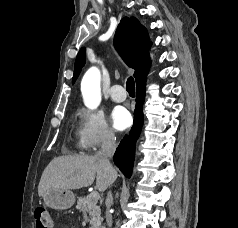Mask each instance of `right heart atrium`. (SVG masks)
Wrapping results in <instances>:
<instances>
[{
  "instance_id": "right-heart-atrium-1",
  "label": "right heart atrium",
  "mask_w": 238,
  "mask_h": 228,
  "mask_svg": "<svg viewBox=\"0 0 238 228\" xmlns=\"http://www.w3.org/2000/svg\"><path fill=\"white\" fill-rule=\"evenodd\" d=\"M79 117L78 139L83 149L95 152L115 144L116 135L101 111L81 109Z\"/></svg>"
}]
</instances>
